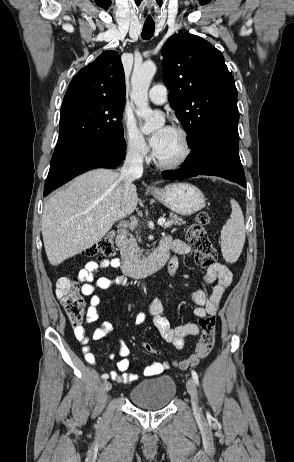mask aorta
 <instances>
[{
    "label": "aorta",
    "mask_w": 294,
    "mask_h": 462,
    "mask_svg": "<svg viewBox=\"0 0 294 462\" xmlns=\"http://www.w3.org/2000/svg\"><path fill=\"white\" fill-rule=\"evenodd\" d=\"M156 73V65L152 61H146L140 66H135L131 77V99L134 101L138 117L144 119L143 133L149 134L161 125V121L154 117V113L148 104V89L153 76Z\"/></svg>",
    "instance_id": "762f6f07"
}]
</instances>
